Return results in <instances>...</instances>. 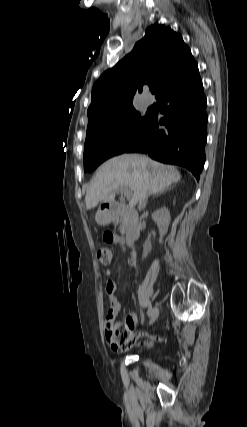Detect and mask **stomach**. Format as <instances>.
Masks as SVG:
<instances>
[{
	"label": "stomach",
	"instance_id": "stomach-1",
	"mask_svg": "<svg viewBox=\"0 0 247 427\" xmlns=\"http://www.w3.org/2000/svg\"><path fill=\"white\" fill-rule=\"evenodd\" d=\"M96 222L100 225H106L110 223L113 219V216L110 212L106 210H98L95 216Z\"/></svg>",
	"mask_w": 247,
	"mask_h": 427
}]
</instances>
